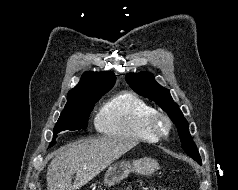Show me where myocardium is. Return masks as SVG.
Wrapping results in <instances>:
<instances>
[{
  "label": "myocardium",
  "instance_id": "myocardium-1",
  "mask_svg": "<svg viewBox=\"0 0 238 190\" xmlns=\"http://www.w3.org/2000/svg\"><path fill=\"white\" fill-rule=\"evenodd\" d=\"M147 126L154 136L162 138L169 134L172 122L166 114L153 111L147 118Z\"/></svg>",
  "mask_w": 238,
  "mask_h": 190
}]
</instances>
